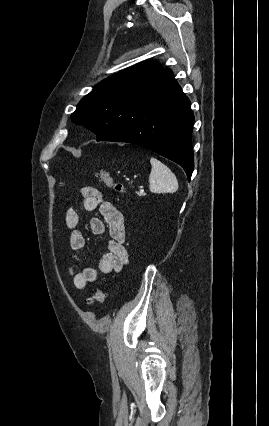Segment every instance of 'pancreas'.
<instances>
[{"mask_svg": "<svg viewBox=\"0 0 269 426\" xmlns=\"http://www.w3.org/2000/svg\"><path fill=\"white\" fill-rule=\"evenodd\" d=\"M137 193V195H139V196H143L144 195V193L143 194H141V193H139V192H136Z\"/></svg>", "mask_w": 269, "mask_h": 426, "instance_id": "1", "label": "pancreas"}]
</instances>
